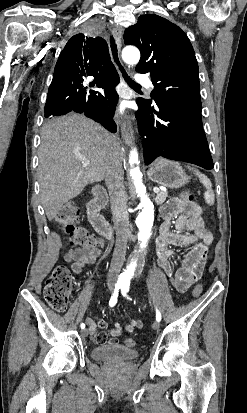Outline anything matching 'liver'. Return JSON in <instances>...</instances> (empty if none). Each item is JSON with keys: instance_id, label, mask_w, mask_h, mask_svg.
<instances>
[{"instance_id": "obj_1", "label": "liver", "mask_w": 247, "mask_h": 413, "mask_svg": "<svg viewBox=\"0 0 247 413\" xmlns=\"http://www.w3.org/2000/svg\"><path fill=\"white\" fill-rule=\"evenodd\" d=\"M108 144H112L108 130L82 114L59 116L44 124L37 174L48 221L55 219L63 204L80 194L86 184L105 178ZM123 158L121 146L120 160ZM82 160H89V164Z\"/></svg>"}]
</instances>
